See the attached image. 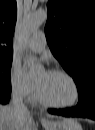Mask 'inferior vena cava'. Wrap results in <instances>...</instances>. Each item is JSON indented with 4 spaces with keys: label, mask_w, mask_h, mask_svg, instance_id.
Instances as JSON below:
<instances>
[{
    "label": "inferior vena cava",
    "mask_w": 95,
    "mask_h": 130,
    "mask_svg": "<svg viewBox=\"0 0 95 130\" xmlns=\"http://www.w3.org/2000/svg\"><path fill=\"white\" fill-rule=\"evenodd\" d=\"M11 107L17 113H25L28 111L26 105L23 103V96L20 91H14L12 94Z\"/></svg>",
    "instance_id": "inferior-vena-cava-1"
}]
</instances>
